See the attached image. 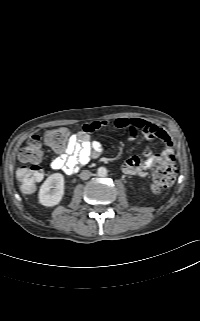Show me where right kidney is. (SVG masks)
<instances>
[{
	"mask_svg": "<svg viewBox=\"0 0 200 321\" xmlns=\"http://www.w3.org/2000/svg\"><path fill=\"white\" fill-rule=\"evenodd\" d=\"M64 195V176L60 173L50 175L40 187L39 202L52 207L62 200Z\"/></svg>",
	"mask_w": 200,
	"mask_h": 321,
	"instance_id": "ca27d5eb",
	"label": "right kidney"
}]
</instances>
